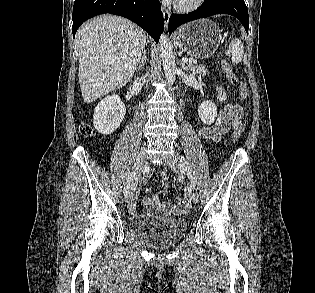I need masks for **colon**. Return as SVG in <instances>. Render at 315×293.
Here are the masks:
<instances>
[{"label": "colon", "instance_id": "5ec220e1", "mask_svg": "<svg viewBox=\"0 0 315 293\" xmlns=\"http://www.w3.org/2000/svg\"><path fill=\"white\" fill-rule=\"evenodd\" d=\"M223 59H226V56H223ZM223 68H224L227 79L229 80L231 85L237 90L241 102L242 103L245 102L249 94V90L246 83L237 77V75L234 73L230 65L225 61L223 62ZM240 123H244V120H240ZM243 128L244 126L243 124H241L234 131V134H233L234 139H237L241 135V133L243 132ZM80 130L84 136H90L93 132L92 127L87 123L82 124ZM175 203L179 207H185L187 205V200L182 196H178L175 199Z\"/></svg>", "mask_w": 315, "mask_h": 293}]
</instances>
